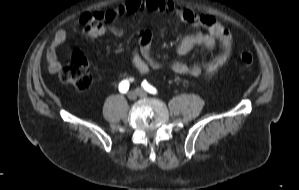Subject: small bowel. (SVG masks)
Instances as JSON below:
<instances>
[{
	"instance_id": "obj_1",
	"label": "small bowel",
	"mask_w": 299,
	"mask_h": 190,
	"mask_svg": "<svg viewBox=\"0 0 299 190\" xmlns=\"http://www.w3.org/2000/svg\"><path fill=\"white\" fill-rule=\"evenodd\" d=\"M140 10L171 12L184 23L197 24L206 30V32H196L182 38L176 48V54L179 57L187 55L196 46H203L208 49L216 45L219 46V52L204 64L187 63L180 60L170 62L167 67L172 72L194 77L202 74L213 75L225 66L230 59L233 38L226 27L220 24L212 15H199L192 10L183 9L166 0H125L121 4L105 10L85 12L80 17L83 34L91 39L100 38L108 32L120 37L123 35V30L118 28L108 29L105 21L114 20L124 13H135ZM68 37L69 35L65 30L57 31L47 49L46 58L51 73H57L61 69L57 52ZM131 62L142 75L147 74L151 69L159 70L166 67L165 62L156 58L153 54L152 34L149 29L141 31L139 45L131 52Z\"/></svg>"
}]
</instances>
